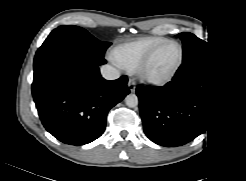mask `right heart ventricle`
Returning <instances> with one entry per match:
<instances>
[{
  "label": "right heart ventricle",
  "mask_w": 246,
  "mask_h": 181,
  "mask_svg": "<svg viewBox=\"0 0 246 181\" xmlns=\"http://www.w3.org/2000/svg\"><path fill=\"white\" fill-rule=\"evenodd\" d=\"M161 44L162 41L147 37L116 48L114 54L123 66L126 68H135Z\"/></svg>",
  "instance_id": "e07e8e85"
}]
</instances>
